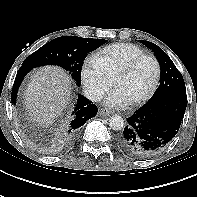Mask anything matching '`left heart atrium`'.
I'll use <instances>...</instances> for the list:
<instances>
[{"label":"left heart atrium","mask_w":197,"mask_h":197,"mask_svg":"<svg viewBox=\"0 0 197 197\" xmlns=\"http://www.w3.org/2000/svg\"><path fill=\"white\" fill-rule=\"evenodd\" d=\"M105 101L108 105L111 106H124L128 103L126 98L118 88L110 91L106 96Z\"/></svg>","instance_id":"39dd6f15"}]
</instances>
